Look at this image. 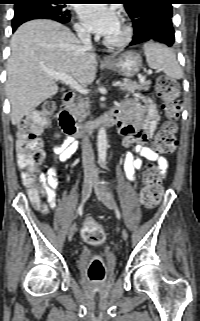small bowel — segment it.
<instances>
[{"instance_id":"small-bowel-1","label":"small bowel","mask_w":200,"mask_h":321,"mask_svg":"<svg viewBox=\"0 0 200 321\" xmlns=\"http://www.w3.org/2000/svg\"><path fill=\"white\" fill-rule=\"evenodd\" d=\"M114 110L119 114L117 128L124 137L123 144L126 147L133 146L139 157L127 152L124 158V170L127 178L135 182L136 173L143 167V160L155 161L162 173L168 169V161L147 146V142L153 137L160 114L157 105L148 97L136 94L133 99L116 103ZM78 144L73 137H67L63 142L53 148L54 164L46 173L40 175L45 196L51 208L55 207L58 181V163H66L77 151Z\"/></svg>"}]
</instances>
